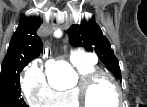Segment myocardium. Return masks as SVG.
<instances>
[{"label":"myocardium","mask_w":147,"mask_h":107,"mask_svg":"<svg viewBox=\"0 0 147 107\" xmlns=\"http://www.w3.org/2000/svg\"><path fill=\"white\" fill-rule=\"evenodd\" d=\"M102 80H107L112 83L117 93V104L122 103V93L116 79L103 71H95L83 78H80L75 86L77 99L81 107H92L89 100L90 91L98 82Z\"/></svg>","instance_id":"f54148a6"}]
</instances>
